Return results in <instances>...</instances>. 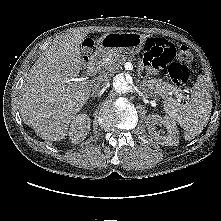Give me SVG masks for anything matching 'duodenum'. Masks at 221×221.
Masks as SVG:
<instances>
[{"label": "duodenum", "mask_w": 221, "mask_h": 221, "mask_svg": "<svg viewBox=\"0 0 221 221\" xmlns=\"http://www.w3.org/2000/svg\"><path fill=\"white\" fill-rule=\"evenodd\" d=\"M101 58L100 53H95L89 57V59L86 61V66L90 72L94 71L99 60Z\"/></svg>", "instance_id": "duodenum-1"}]
</instances>
